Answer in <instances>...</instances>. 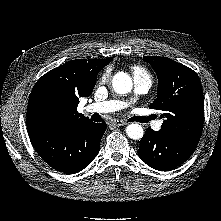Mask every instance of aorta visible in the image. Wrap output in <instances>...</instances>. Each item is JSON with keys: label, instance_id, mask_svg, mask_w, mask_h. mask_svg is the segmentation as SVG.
Wrapping results in <instances>:
<instances>
[{"label": "aorta", "instance_id": "obj_1", "mask_svg": "<svg viewBox=\"0 0 221 221\" xmlns=\"http://www.w3.org/2000/svg\"><path fill=\"white\" fill-rule=\"evenodd\" d=\"M113 89L117 94H126L132 89V79L131 77L124 73H117L112 81ZM129 138L138 140L143 137L144 130L139 124H130L126 129Z\"/></svg>", "mask_w": 221, "mask_h": 221}]
</instances>
